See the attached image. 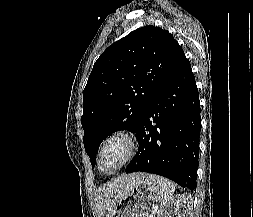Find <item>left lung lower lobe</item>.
I'll return each instance as SVG.
<instances>
[{"label": "left lung lower lobe", "mask_w": 253, "mask_h": 217, "mask_svg": "<svg viewBox=\"0 0 253 217\" xmlns=\"http://www.w3.org/2000/svg\"><path fill=\"white\" fill-rule=\"evenodd\" d=\"M200 129L198 89L185 57L139 120V149L126 173H154L196 190Z\"/></svg>", "instance_id": "obj_1"}]
</instances>
